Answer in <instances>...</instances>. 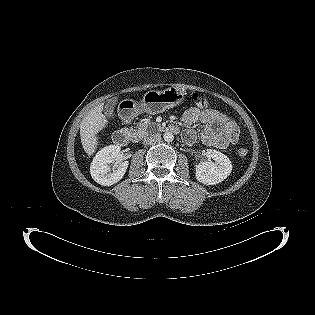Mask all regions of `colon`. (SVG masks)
Here are the masks:
<instances>
[{
    "label": "colon",
    "instance_id": "obj_1",
    "mask_svg": "<svg viewBox=\"0 0 315 315\" xmlns=\"http://www.w3.org/2000/svg\"><path fill=\"white\" fill-rule=\"evenodd\" d=\"M190 101L197 106L198 108H209L210 104L207 98L199 96L198 94H192L190 95ZM238 154L241 157H244L248 154V150L246 148H240L238 150Z\"/></svg>",
    "mask_w": 315,
    "mask_h": 315
}]
</instances>
